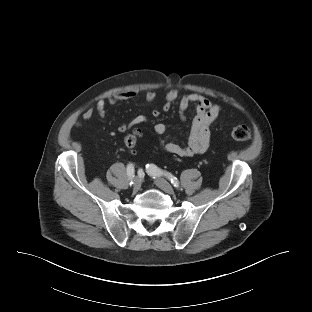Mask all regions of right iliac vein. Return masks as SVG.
I'll return each instance as SVG.
<instances>
[{
	"label": "right iliac vein",
	"mask_w": 312,
	"mask_h": 312,
	"mask_svg": "<svg viewBox=\"0 0 312 312\" xmlns=\"http://www.w3.org/2000/svg\"><path fill=\"white\" fill-rule=\"evenodd\" d=\"M140 188H141V181L139 178H136L133 184V191L137 192Z\"/></svg>",
	"instance_id": "63e3f726"
}]
</instances>
